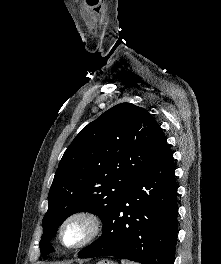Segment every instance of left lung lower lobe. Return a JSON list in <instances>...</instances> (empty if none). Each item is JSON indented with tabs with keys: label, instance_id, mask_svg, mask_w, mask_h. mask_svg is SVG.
Segmentation results:
<instances>
[{
	"label": "left lung lower lobe",
	"instance_id": "obj_1",
	"mask_svg": "<svg viewBox=\"0 0 221 264\" xmlns=\"http://www.w3.org/2000/svg\"><path fill=\"white\" fill-rule=\"evenodd\" d=\"M177 184L168 144L103 221V233L80 258L121 257L142 264H174Z\"/></svg>",
	"mask_w": 221,
	"mask_h": 264
}]
</instances>
